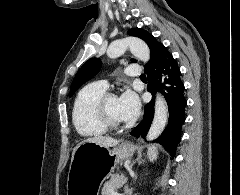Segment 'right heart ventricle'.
Here are the masks:
<instances>
[{
	"mask_svg": "<svg viewBox=\"0 0 240 195\" xmlns=\"http://www.w3.org/2000/svg\"><path fill=\"white\" fill-rule=\"evenodd\" d=\"M105 94L106 86L95 82L85 86L76 97L72 117L75 128L82 136L98 137L107 132L97 113L98 102Z\"/></svg>",
	"mask_w": 240,
	"mask_h": 195,
	"instance_id": "1",
	"label": "right heart ventricle"
}]
</instances>
